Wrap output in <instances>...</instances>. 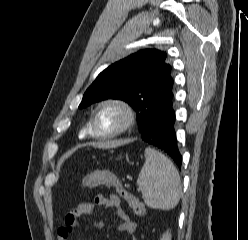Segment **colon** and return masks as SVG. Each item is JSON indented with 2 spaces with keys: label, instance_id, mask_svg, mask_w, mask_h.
<instances>
[{
  "label": "colon",
  "instance_id": "5ec220e1",
  "mask_svg": "<svg viewBox=\"0 0 248 240\" xmlns=\"http://www.w3.org/2000/svg\"><path fill=\"white\" fill-rule=\"evenodd\" d=\"M82 185L84 188H92L99 185L112 187L137 215L145 214V208L141 201L135 195L128 192L120 180L109 171H95L86 175Z\"/></svg>",
  "mask_w": 248,
  "mask_h": 240
}]
</instances>
